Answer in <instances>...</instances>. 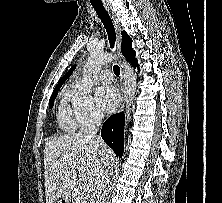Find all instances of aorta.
Returning <instances> with one entry per match:
<instances>
[{
	"mask_svg": "<svg viewBox=\"0 0 222 203\" xmlns=\"http://www.w3.org/2000/svg\"><path fill=\"white\" fill-rule=\"evenodd\" d=\"M116 57L110 53H99L93 52L88 57L84 69L83 75L80 82L77 83V88L84 94H89L91 92L94 81L103 65L110 63L115 60ZM123 76H124V87H125V117L126 123L130 120V106L133 104L136 91V75L134 74L132 68L126 64L122 63Z\"/></svg>",
	"mask_w": 222,
	"mask_h": 203,
	"instance_id": "1",
	"label": "aorta"
}]
</instances>
